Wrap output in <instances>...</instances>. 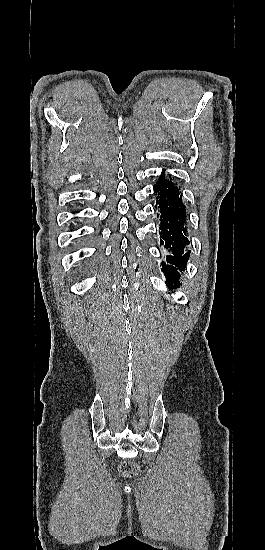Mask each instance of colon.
<instances>
[{"mask_svg": "<svg viewBox=\"0 0 265 550\" xmlns=\"http://www.w3.org/2000/svg\"><path fill=\"white\" fill-rule=\"evenodd\" d=\"M119 470L123 475L133 476L138 472V468L135 464L124 462L119 466Z\"/></svg>", "mask_w": 265, "mask_h": 550, "instance_id": "1", "label": "colon"}]
</instances>
